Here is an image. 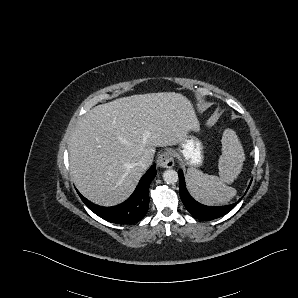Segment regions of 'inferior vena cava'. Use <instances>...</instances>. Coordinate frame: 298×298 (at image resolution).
<instances>
[{"label":"inferior vena cava","mask_w":298,"mask_h":298,"mask_svg":"<svg viewBox=\"0 0 298 298\" xmlns=\"http://www.w3.org/2000/svg\"><path fill=\"white\" fill-rule=\"evenodd\" d=\"M152 162L145 156H143L140 161L138 162V165L143 168L144 170L148 169Z\"/></svg>","instance_id":"1"}]
</instances>
